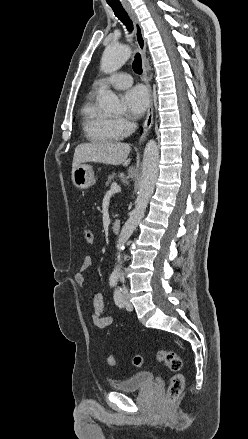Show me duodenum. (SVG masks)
Instances as JSON below:
<instances>
[{
	"label": "duodenum",
	"instance_id": "1",
	"mask_svg": "<svg viewBox=\"0 0 248 439\" xmlns=\"http://www.w3.org/2000/svg\"><path fill=\"white\" fill-rule=\"evenodd\" d=\"M122 228V222L119 219H116L113 221L112 225H111V229L114 233H119L121 231Z\"/></svg>",
	"mask_w": 248,
	"mask_h": 439
}]
</instances>
